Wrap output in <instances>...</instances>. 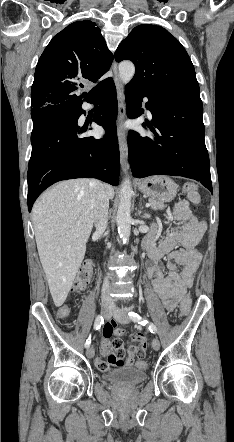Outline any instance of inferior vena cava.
<instances>
[{"instance_id":"obj_1","label":"inferior vena cava","mask_w":234,"mask_h":442,"mask_svg":"<svg viewBox=\"0 0 234 442\" xmlns=\"http://www.w3.org/2000/svg\"><path fill=\"white\" fill-rule=\"evenodd\" d=\"M92 190L91 207L93 210V220L98 234H103L108 224L109 198L105 191L104 184L99 180L90 181ZM102 299L111 301V286L109 277H105L102 286Z\"/></svg>"}]
</instances>
